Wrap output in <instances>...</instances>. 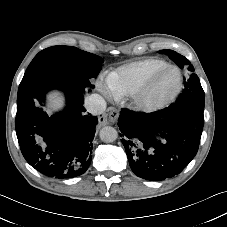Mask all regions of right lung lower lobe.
Instances as JSON below:
<instances>
[{
    "label": "right lung lower lobe",
    "mask_w": 227,
    "mask_h": 227,
    "mask_svg": "<svg viewBox=\"0 0 227 227\" xmlns=\"http://www.w3.org/2000/svg\"><path fill=\"white\" fill-rule=\"evenodd\" d=\"M51 89L65 92L67 108L48 116L43 111L45 94ZM85 86L77 83L47 82L18 95L16 134L26 161L42 174L72 178L83 174L92 156L96 116L85 114Z\"/></svg>",
    "instance_id": "obj_1"
}]
</instances>
